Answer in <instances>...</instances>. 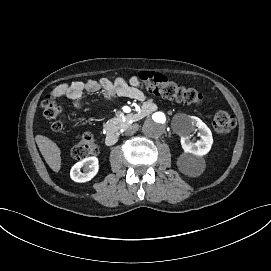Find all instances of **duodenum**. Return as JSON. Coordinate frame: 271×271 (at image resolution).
I'll return each mask as SVG.
<instances>
[{
    "label": "duodenum",
    "mask_w": 271,
    "mask_h": 271,
    "mask_svg": "<svg viewBox=\"0 0 271 271\" xmlns=\"http://www.w3.org/2000/svg\"><path fill=\"white\" fill-rule=\"evenodd\" d=\"M146 113H147V110L142 109L141 111L136 113V115L134 116V119L138 120L141 117H143ZM117 140H118V137L115 133H109L106 135L105 143L107 146H113L117 143Z\"/></svg>",
    "instance_id": "410a0bca"
}]
</instances>
